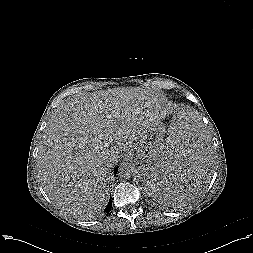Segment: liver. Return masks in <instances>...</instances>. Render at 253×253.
I'll list each match as a JSON object with an SVG mask.
<instances>
[{"mask_svg":"<svg viewBox=\"0 0 253 253\" xmlns=\"http://www.w3.org/2000/svg\"><path fill=\"white\" fill-rule=\"evenodd\" d=\"M170 112L163 97L134 87L96 91L61 103L49 119L37 157L50 200L76 217L101 213L115 163Z\"/></svg>","mask_w":253,"mask_h":253,"instance_id":"obj_1","label":"liver"}]
</instances>
